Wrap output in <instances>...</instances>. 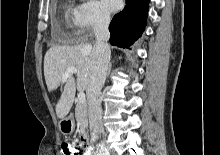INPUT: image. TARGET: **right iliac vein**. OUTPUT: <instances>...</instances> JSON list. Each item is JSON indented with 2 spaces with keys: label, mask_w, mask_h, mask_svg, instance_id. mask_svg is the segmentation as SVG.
<instances>
[{
  "label": "right iliac vein",
  "mask_w": 220,
  "mask_h": 155,
  "mask_svg": "<svg viewBox=\"0 0 220 155\" xmlns=\"http://www.w3.org/2000/svg\"><path fill=\"white\" fill-rule=\"evenodd\" d=\"M100 155H110L108 152L102 153Z\"/></svg>",
  "instance_id": "right-iliac-vein-1"
}]
</instances>
